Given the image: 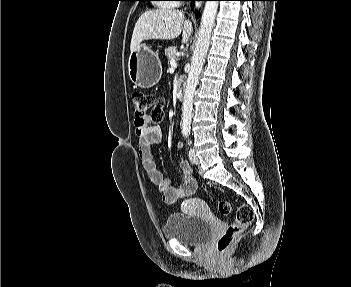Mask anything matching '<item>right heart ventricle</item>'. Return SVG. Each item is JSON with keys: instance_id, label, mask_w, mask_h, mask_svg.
<instances>
[{"instance_id": "right-heart-ventricle-1", "label": "right heart ventricle", "mask_w": 351, "mask_h": 287, "mask_svg": "<svg viewBox=\"0 0 351 287\" xmlns=\"http://www.w3.org/2000/svg\"><path fill=\"white\" fill-rule=\"evenodd\" d=\"M161 7H163V8H168L169 6L168 5H161Z\"/></svg>"}]
</instances>
